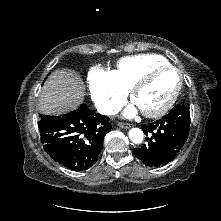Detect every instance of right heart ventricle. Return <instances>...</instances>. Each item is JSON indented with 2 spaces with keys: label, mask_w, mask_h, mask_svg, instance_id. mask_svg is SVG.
Here are the masks:
<instances>
[{
  "label": "right heart ventricle",
  "mask_w": 221,
  "mask_h": 221,
  "mask_svg": "<svg viewBox=\"0 0 221 221\" xmlns=\"http://www.w3.org/2000/svg\"><path fill=\"white\" fill-rule=\"evenodd\" d=\"M165 65H170V63L160 55H137L120 59L113 72L119 83L129 91L147 71Z\"/></svg>",
  "instance_id": "e07e8e85"
}]
</instances>
